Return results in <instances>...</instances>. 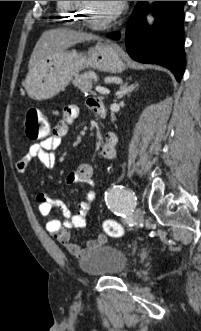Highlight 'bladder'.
<instances>
[{
    "label": "bladder",
    "mask_w": 201,
    "mask_h": 331,
    "mask_svg": "<svg viewBox=\"0 0 201 331\" xmlns=\"http://www.w3.org/2000/svg\"><path fill=\"white\" fill-rule=\"evenodd\" d=\"M128 257L115 246L103 244L79 261L83 273L91 277H114L125 273Z\"/></svg>",
    "instance_id": "1"
}]
</instances>
